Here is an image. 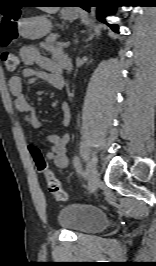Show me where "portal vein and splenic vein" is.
Segmentation results:
<instances>
[{
	"label": "portal vein and splenic vein",
	"instance_id": "portal-vein-and-splenic-vein-1",
	"mask_svg": "<svg viewBox=\"0 0 156 266\" xmlns=\"http://www.w3.org/2000/svg\"><path fill=\"white\" fill-rule=\"evenodd\" d=\"M58 46L61 47V48H66V47L69 46V42H59Z\"/></svg>",
	"mask_w": 156,
	"mask_h": 266
}]
</instances>
